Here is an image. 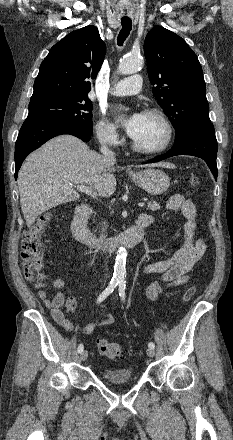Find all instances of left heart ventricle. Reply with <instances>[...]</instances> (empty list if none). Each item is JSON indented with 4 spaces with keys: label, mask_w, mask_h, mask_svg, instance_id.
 <instances>
[{
    "label": "left heart ventricle",
    "mask_w": 233,
    "mask_h": 440,
    "mask_svg": "<svg viewBox=\"0 0 233 440\" xmlns=\"http://www.w3.org/2000/svg\"><path fill=\"white\" fill-rule=\"evenodd\" d=\"M166 129L155 116L143 114L141 126L133 140L144 148H155L165 140Z\"/></svg>",
    "instance_id": "left-heart-ventricle-1"
}]
</instances>
